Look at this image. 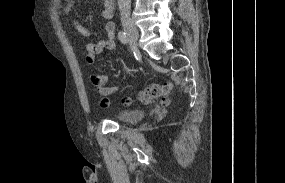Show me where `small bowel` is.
Listing matches in <instances>:
<instances>
[{
	"label": "small bowel",
	"instance_id": "c3829d8e",
	"mask_svg": "<svg viewBox=\"0 0 285 183\" xmlns=\"http://www.w3.org/2000/svg\"><path fill=\"white\" fill-rule=\"evenodd\" d=\"M66 3L62 10L64 14L70 15L72 13L73 4L70 0H65ZM102 17L107 20L104 30L105 37L97 42H87L83 48V57L85 61L92 64L95 57L102 53L104 50H113L116 47L115 43V25L111 21L114 14V4L113 0H103L102 1ZM72 24L74 28L82 36H90L93 31L85 28L77 19L73 18ZM107 75L104 73H93L90 75V81L96 88L97 92L101 96L99 104L101 107H107L110 105L109 96L118 91L117 86H106ZM173 83L167 82L161 85L153 84L148 86L146 89L140 92L139 98L141 101H149L154 98H161L163 104L169 103V96L173 90ZM130 97H124L122 102L125 104L124 100Z\"/></svg>",
	"mask_w": 285,
	"mask_h": 183
}]
</instances>
